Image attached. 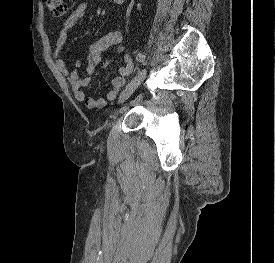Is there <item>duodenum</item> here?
<instances>
[{"mask_svg":"<svg viewBox=\"0 0 275 263\" xmlns=\"http://www.w3.org/2000/svg\"><path fill=\"white\" fill-rule=\"evenodd\" d=\"M116 4H122L125 0H113Z\"/></svg>","mask_w":275,"mask_h":263,"instance_id":"1","label":"duodenum"}]
</instances>
